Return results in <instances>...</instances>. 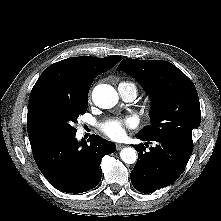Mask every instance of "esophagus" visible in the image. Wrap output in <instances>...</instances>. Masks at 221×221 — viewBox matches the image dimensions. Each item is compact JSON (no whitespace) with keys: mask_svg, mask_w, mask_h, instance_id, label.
<instances>
[{"mask_svg":"<svg viewBox=\"0 0 221 221\" xmlns=\"http://www.w3.org/2000/svg\"><path fill=\"white\" fill-rule=\"evenodd\" d=\"M125 145L124 144H116V149L117 150H121L122 148H124Z\"/></svg>","mask_w":221,"mask_h":221,"instance_id":"obj_1","label":"esophagus"}]
</instances>
